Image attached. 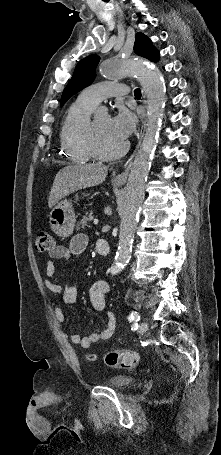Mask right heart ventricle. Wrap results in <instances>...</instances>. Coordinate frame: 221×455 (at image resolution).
I'll list each match as a JSON object with an SVG mask.
<instances>
[{
	"label": "right heart ventricle",
	"instance_id": "obj_1",
	"mask_svg": "<svg viewBox=\"0 0 221 455\" xmlns=\"http://www.w3.org/2000/svg\"><path fill=\"white\" fill-rule=\"evenodd\" d=\"M94 106L80 96L69 107L60 131L62 153L73 163H85L91 159L87 146V128Z\"/></svg>",
	"mask_w": 221,
	"mask_h": 455
}]
</instances>
